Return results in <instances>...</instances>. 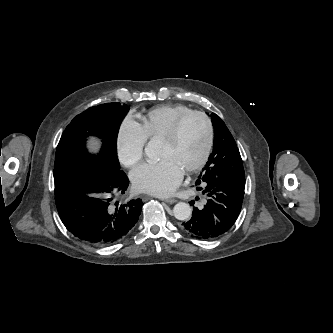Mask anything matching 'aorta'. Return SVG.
Instances as JSON below:
<instances>
[{
  "instance_id": "obj_1",
  "label": "aorta",
  "mask_w": 333,
  "mask_h": 333,
  "mask_svg": "<svg viewBox=\"0 0 333 333\" xmlns=\"http://www.w3.org/2000/svg\"><path fill=\"white\" fill-rule=\"evenodd\" d=\"M145 153L149 158L157 157L156 150L151 144H148V146L145 148ZM173 213L176 219L187 220L192 214V209L189 204L179 202L174 206Z\"/></svg>"
}]
</instances>
